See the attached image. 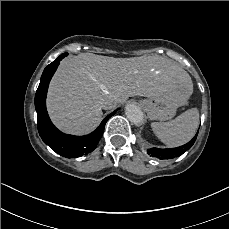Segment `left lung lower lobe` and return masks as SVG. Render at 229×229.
Listing matches in <instances>:
<instances>
[{"label":"left lung lower lobe","mask_w":229,"mask_h":229,"mask_svg":"<svg viewBox=\"0 0 229 229\" xmlns=\"http://www.w3.org/2000/svg\"><path fill=\"white\" fill-rule=\"evenodd\" d=\"M197 135H198V132L192 138L191 141H189L188 143H186L180 147L169 148V149L151 148V149L147 150V153L150 156L159 158L161 160L173 159V158L179 157L180 155H182L184 152H186L187 150H189L193 146V144L195 143V141L197 139Z\"/></svg>","instance_id":"0a47b994"}]
</instances>
